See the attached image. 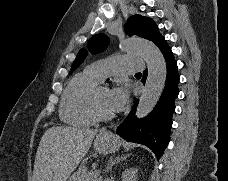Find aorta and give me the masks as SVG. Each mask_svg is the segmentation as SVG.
Here are the masks:
<instances>
[{"mask_svg": "<svg viewBox=\"0 0 228 181\" xmlns=\"http://www.w3.org/2000/svg\"><path fill=\"white\" fill-rule=\"evenodd\" d=\"M124 48L130 53L140 55L148 67L146 84L136 110V116L143 118L157 104L165 87L166 62L161 51L150 41L141 38L128 39Z\"/></svg>", "mask_w": 228, "mask_h": 181, "instance_id": "762f6f07", "label": "aorta"}]
</instances>
